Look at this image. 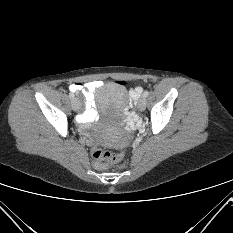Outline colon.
Returning a JSON list of instances; mask_svg holds the SVG:
<instances>
[{
    "label": "colon",
    "mask_w": 233,
    "mask_h": 233,
    "mask_svg": "<svg viewBox=\"0 0 233 233\" xmlns=\"http://www.w3.org/2000/svg\"><path fill=\"white\" fill-rule=\"evenodd\" d=\"M92 156L96 162V165L101 168L104 166L105 162L115 163L121 161L124 157V152L120 151L113 153L94 146L92 149Z\"/></svg>",
    "instance_id": "1"
}]
</instances>
